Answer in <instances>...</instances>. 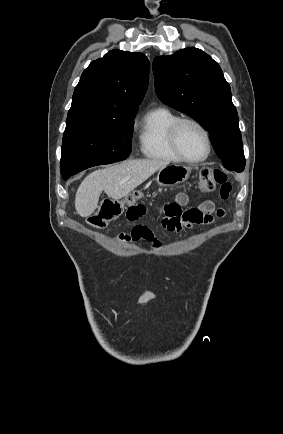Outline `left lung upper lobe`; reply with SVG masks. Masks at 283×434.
I'll list each match as a JSON object with an SVG mask.
<instances>
[{
  "label": "left lung upper lobe",
  "mask_w": 283,
  "mask_h": 434,
  "mask_svg": "<svg viewBox=\"0 0 283 434\" xmlns=\"http://www.w3.org/2000/svg\"><path fill=\"white\" fill-rule=\"evenodd\" d=\"M153 73L159 99L198 121L209 132L223 165L242 172L245 157L238 114L219 64L202 50L189 47L156 57Z\"/></svg>",
  "instance_id": "5c2ea615"
}]
</instances>
